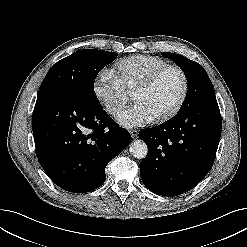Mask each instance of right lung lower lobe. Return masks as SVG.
Returning <instances> with one entry per match:
<instances>
[{"label":"right lung lower lobe","mask_w":247,"mask_h":247,"mask_svg":"<svg viewBox=\"0 0 247 247\" xmlns=\"http://www.w3.org/2000/svg\"><path fill=\"white\" fill-rule=\"evenodd\" d=\"M40 165L60 188L90 192L105 179L107 164L131 142L100 103L73 86L39 91L32 118Z\"/></svg>","instance_id":"obj_1"}]
</instances>
